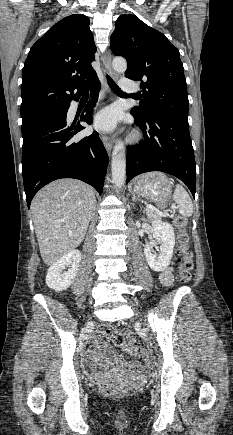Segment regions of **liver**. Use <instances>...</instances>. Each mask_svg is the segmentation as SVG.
Instances as JSON below:
<instances>
[{
  "mask_svg": "<svg viewBox=\"0 0 233 435\" xmlns=\"http://www.w3.org/2000/svg\"><path fill=\"white\" fill-rule=\"evenodd\" d=\"M95 207L93 189L80 180H56L37 192L31 212L46 265L54 264L81 244Z\"/></svg>",
  "mask_w": 233,
  "mask_h": 435,
  "instance_id": "liver-1",
  "label": "liver"
}]
</instances>
